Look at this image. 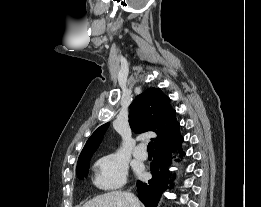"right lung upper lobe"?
Here are the masks:
<instances>
[{
    "label": "right lung upper lobe",
    "instance_id": "right-lung-upper-lobe-1",
    "mask_svg": "<svg viewBox=\"0 0 261 207\" xmlns=\"http://www.w3.org/2000/svg\"><path fill=\"white\" fill-rule=\"evenodd\" d=\"M175 115L169 97L158 88H149L138 95L130 105L129 123L135 133L155 132L157 137L153 140L156 149L181 137L180 124ZM108 126L109 123H105L95 130L81 151L78 162L92 157Z\"/></svg>",
    "mask_w": 261,
    "mask_h": 207
}]
</instances>
